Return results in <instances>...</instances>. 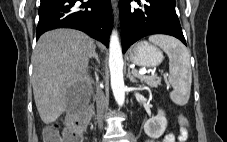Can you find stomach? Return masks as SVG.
<instances>
[{"instance_id": "stomach-1", "label": "stomach", "mask_w": 227, "mask_h": 142, "mask_svg": "<svg viewBox=\"0 0 227 142\" xmlns=\"http://www.w3.org/2000/svg\"><path fill=\"white\" fill-rule=\"evenodd\" d=\"M129 59L142 67H155L163 60L162 52L154 45L141 41L129 50Z\"/></svg>"}]
</instances>
